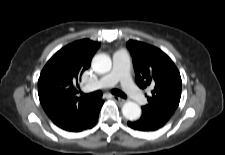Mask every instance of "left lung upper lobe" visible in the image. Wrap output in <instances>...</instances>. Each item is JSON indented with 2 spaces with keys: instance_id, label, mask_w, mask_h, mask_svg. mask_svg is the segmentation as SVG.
<instances>
[{
  "instance_id": "1",
  "label": "left lung upper lobe",
  "mask_w": 225,
  "mask_h": 155,
  "mask_svg": "<svg viewBox=\"0 0 225 155\" xmlns=\"http://www.w3.org/2000/svg\"><path fill=\"white\" fill-rule=\"evenodd\" d=\"M127 48L133 57L137 85L152 88L142 114L172 116L181 97V76L172 60L160 49L146 43L129 40Z\"/></svg>"
}]
</instances>
